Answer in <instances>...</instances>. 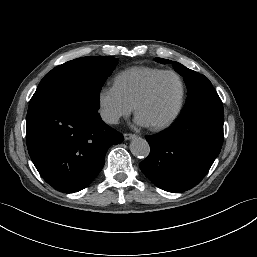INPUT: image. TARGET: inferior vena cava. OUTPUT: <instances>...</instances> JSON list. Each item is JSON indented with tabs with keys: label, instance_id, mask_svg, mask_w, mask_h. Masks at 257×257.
I'll return each mask as SVG.
<instances>
[{
	"label": "inferior vena cava",
	"instance_id": "obj_1",
	"mask_svg": "<svg viewBox=\"0 0 257 257\" xmlns=\"http://www.w3.org/2000/svg\"><path fill=\"white\" fill-rule=\"evenodd\" d=\"M101 117L104 122L110 124H117L119 121V115L110 111L103 110L101 112Z\"/></svg>",
	"mask_w": 257,
	"mask_h": 257
}]
</instances>
